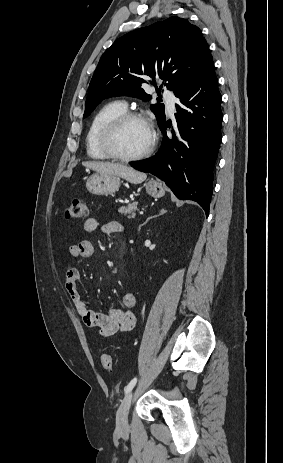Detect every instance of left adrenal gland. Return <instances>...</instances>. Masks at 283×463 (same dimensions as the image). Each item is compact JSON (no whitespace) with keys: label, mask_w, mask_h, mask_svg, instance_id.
Returning <instances> with one entry per match:
<instances>
[{"label":"left adrenal gland","mask_w":283,"mask_h":463,"mask_svg":"<svg viewBox=\"0 0 283 463\" xmlns=\"http://www.w3.org/2000/svg\"><path fill=\"white\" fill-rule=\"evenodd\" d=\"M166 212H167V210L162 208L157 215L147 218L146 221L141 226H144L145 224H147L149 222V220H151L152 218H156L158 216H161V215L165 214Z\"/></svg>","instance_id":"a2214340"}]
</instances>
